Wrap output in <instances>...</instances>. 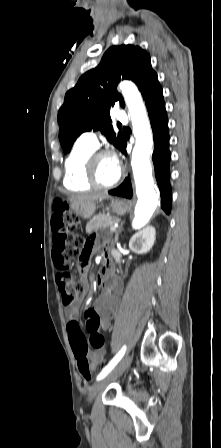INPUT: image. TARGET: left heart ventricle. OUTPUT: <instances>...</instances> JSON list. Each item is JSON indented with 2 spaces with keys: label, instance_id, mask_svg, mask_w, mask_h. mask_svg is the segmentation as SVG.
<instances>
[{
  "label": "left heart ventricle",
  "instance_id": "b2bd125f",
  "mask_svg": "<svg viewBox=\"0 0 221 448\" xmlns=\"http://www.w3.org/2000/svg\"><path fill=\"white\" fill-rule=\"evenodd\" d=\"M119 172L114 157L100 156L96 163V174L101 183L108 184L115 180Z\"/></svg>",
  "mask_w": 221,
  "mask_h": 448
}]
</instances>
